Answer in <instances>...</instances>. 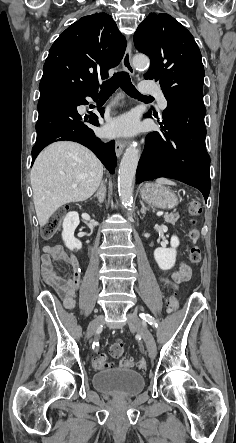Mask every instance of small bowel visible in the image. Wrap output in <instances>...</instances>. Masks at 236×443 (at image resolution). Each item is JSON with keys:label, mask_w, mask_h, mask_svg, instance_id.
<instances>
[{"label": "small bowel", "mask_w": 236, "mask_h": 443, "mask_svg": "<svg viewBox=\"0 0 236 443\" xmlns=\"http://www.w3.org/2000/svg\"><path fill=\"white\" fill-rule=\"evenodd\" d=\"M43 252L42 275L45 284L54 290L66 308H72L81 278V268L78 260L58 245L45 246ZM54 260L68 265L71 273L68 275L55 271L53 269ZM191 275V268L185 263H180L178 270L174 273L167 275L166 272H163L160 281L167 287H174L178 283L188 281Z\"/></svg>", "instance_id": "1"}]
</instances>
